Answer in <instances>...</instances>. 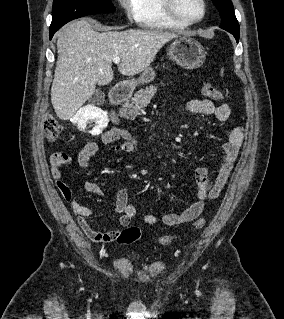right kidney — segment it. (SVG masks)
I'll use <instances>...</instances> for the list:
<instances>
[{
    "label": "right kidney",
    "mask_w": 284,
    "mask_h": 319,
    "mask_svg": "<svg viewBox=\"0 0 284 319\" xmlns=\"http://www.w3.org/2000/svg\"><path fill=\"white\" fill-rule=\"evenodd\" d=\"M74 122L77 123L78 128L84 130L87 126V122L89 120H94L96 122V126L94 127V131L97 133H101L102 130L108 124V118L106 113L93 106H85L81 108L73 118Z\"/></svg>",
    "instance_id": "1"
}]
</instances>
